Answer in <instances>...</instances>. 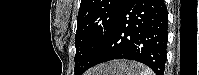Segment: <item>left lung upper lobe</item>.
Listing matches in <instances>:
<instances>
[{
  "instance_id": "obj_1",
  "label": "left lung upper lobe",
  "mask_w": 199,
  "mask_h": 75,
  "mask_svg": "<svg viewBox=\"0 0 199 75\" xmlns=\"http://www.w3.org/2000/svg\"><path fill=\"white\" fill-rule=\"evenodd\" d=\"M127 0H81L75 35V75L90 68ZM96 46L91 49L93 44Z\"/></svg>"
}]
</instances>
